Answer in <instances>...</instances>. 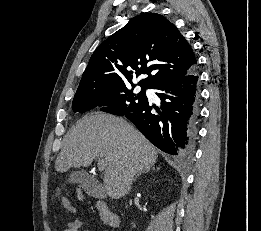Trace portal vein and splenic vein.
Returning a JSON list of instances; mask_svg holds the SVG:
<instances>
[{
	"label": "portal vein and splenic vein",
	"mask_w": 261,
	"mask_h": 231,
	"mask_svg": "<svg viewBox=\"0 0 261 231\" xmlns=\"http://www.w3.org/2000/svg\"><path fill=\"white\" fill-rule=\"evenodd\" d=\"M107 166V160L105 158H99L98 160V168L99 170H104Z\"/></svg>",
	"instance_id": "portal-vein-and-splenic-vein-1"
}]
</instances>
